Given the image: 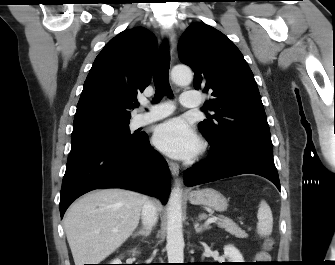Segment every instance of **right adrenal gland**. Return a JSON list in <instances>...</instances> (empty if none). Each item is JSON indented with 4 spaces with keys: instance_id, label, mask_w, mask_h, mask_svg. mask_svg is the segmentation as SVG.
I'll return each mask as SVG.
<instances>
[{
    "instance_id": "2a0ac1e0",
    "label": "right adrenal gland",
    "mask_w": 335,
    "mask_h": 265,
    "mask_svg": "<svg viewBox=\"0 0 335 265\" xmlns=\"http://www.w3.org/2000/svg\"><path fill=\"white\" fill-rule=\"evenodd\" d=\"M150 233H151L150 228L143 227L140 230H138L137 232H135L133 234V237H136V236L148 237L150 235Z\"/></svg>"
}]
</instances>
